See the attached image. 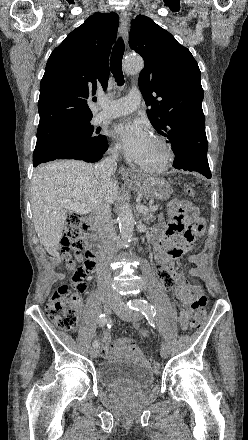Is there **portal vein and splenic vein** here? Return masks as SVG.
I'll list each match as a JSON object with an SVG mask.
<instances>
[{"label":"portal vein and splenic vein","mask_w":248,"mask_h":440,"mask_svg":"<svg viewBox=\"0 0 248 440\" xmlns=\"http://www.w3.org/2000/svg\"><path fill=\"white\" fill-rule=\"evenodd\" d=\"M61 205L67 210L76 211L77 213L80 214H86L90 212V210L87 209L85 205L80 204L79 202L74 200H69V199L61 200ZM137 209L140 213H146L148 211V208L141 204H137Z\"/></svg>","instance_id":"1"}]
</instances>
